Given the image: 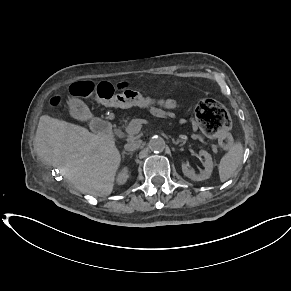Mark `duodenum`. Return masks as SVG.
<instances>
[{
  "mask_svg": "<svg viewBox=\"0 0 291 291\" xmlns=\"http://www.w3.org/2000/svg\"><path fill=\"white\" fill-rule=\"evenodd\" d=\"M91 125L96 132L103 133V134L106 133L107 137L111 136V133L109 132L110 131V124L107 121L102 120V119H94L91 121ZM111 142L114 144H117L118 146L122 145V142L118 141L115 138H112Z\"/></svg>",
  "mask_w": 291,
  "mask_h": 291,
  "instance_id": "duodenum-1",
  "label": "duodenum"
}]
</instances>
